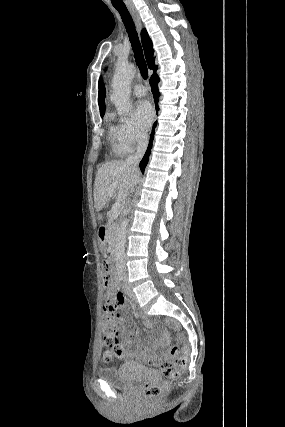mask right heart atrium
Listing matches in <instances>:
<instances>
[{"label": "right heart atrium", "mask_w": 285, "mask_h": 427, "mask_svg": "<svg viewBox=\"0 0 285 427\" xmlns=\"http://www.w3.org/2000/svg\"><path fill=\"white\" fill-rule=\"evenodd\" d=\"M117 142L124 153H129L135 147L142 145L146 135L129 117H121L115 127Z\"/></svg>", "instance_id": "right-heart-atrium-1"}]
</instances>
